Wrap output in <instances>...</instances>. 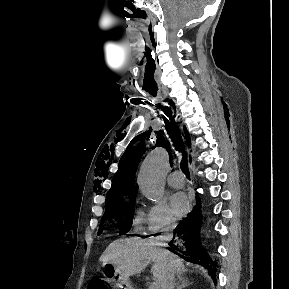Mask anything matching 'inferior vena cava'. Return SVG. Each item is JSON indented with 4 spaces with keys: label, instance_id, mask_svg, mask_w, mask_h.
I'll return each mask as SVG.
<instances>
[{
    "label": "inferior vena cava",
    "instance_id": "1",
    "mask_svg": "<svg viewBox=\"0 0 289 289\" xmlns=\"http://www.w3.org/2000/svg\"><path fill=\"white\" fill-rule=\"evenodd\" d=\"M176 224L172 223L171 225H167L164 228L166 236L164 239L169 240L173 236V230L175 229ZM160 289H174V272L170 265H166L163 271V275L160 282Z\"/></svg>",
    "mask_w": 289,
    "mask_h": 289
}]
</instances>
